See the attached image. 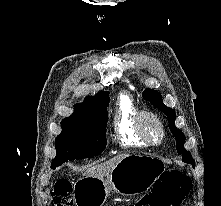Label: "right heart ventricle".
<instances>
[{
  "label": "right heart ventricle",
  "mask_w": 221,
  "mask_h": 206,
  "mask_svg": "<svg viewBox=\"0 0 221 206\" xmlns=\"http://www.w3.org/2000/svg\"><path fill=\"white\" fill-rule=\"evenodd\" d=\"M139 108L128 94H121L115 106L113 128L115 138L122 147H146L136 128Z\"/></svg>",
  "instance_id": "e07e8e85"
}]
</instances>
